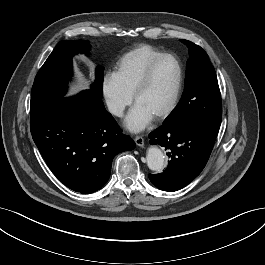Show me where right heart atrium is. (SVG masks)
Here are the masks:
<instances>
[{"instance_id":"obj_1","label":"right heart atrium","mask_w":265,"mask_h":265,"mask_svg":"<svg viewBox=\"0 0 265 265\" xmlns=\"http://www.w3.org/2000/svg\"><path fill=\"white\" fill-rule=\"evenodd\" d=\"M101 91L109 113L121 117L132 101L131 96L120 87L112 74L103 77Z\"/></svg>"}]
</instances>
